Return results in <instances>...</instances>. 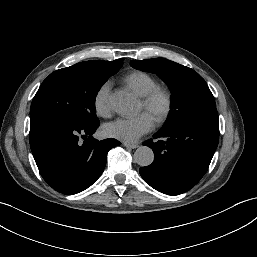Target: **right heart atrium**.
Here are the masks:
<instances>
[{
	"mask_svg": "<svg viewBox=\"0 0 257 257\" xmlns=\"http://www.w3.org/2000/svg\"><path fill=\"white\" fill-rule=\"evenodd\" d=\"M111 82H104L97 90L94 96L93 104L95 111L100 116H107L111 111L110 105V91H111Z\"/></svg>",
	"mask_w": 257,
	"mask_h": 257,
	"instance_id": "1",
	"label": "right heart atrium"
}]
</instances>
